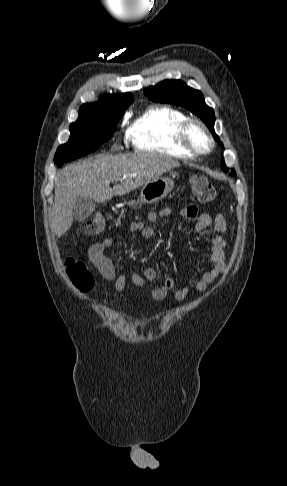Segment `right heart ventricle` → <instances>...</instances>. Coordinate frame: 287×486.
<instances>
[{
  "label": "right heart ventricle",
  "mask_w": 287,
  "mask_h": 486,
  "mask_svg": "<svg viewBox=\"0 0 287 486\" xmlns=\"http://www.w3.org/2000/svg\"><path fill=\"white\" fill-rule=\"evenodd\" d=\"M187 118L176 108L153 106L129 126L126 136L135 151L190 159L194 155L185 150L178 139L179 128Z\"/></svg>",
  "instance_id": "e07e8e85"
}]
</instances>
